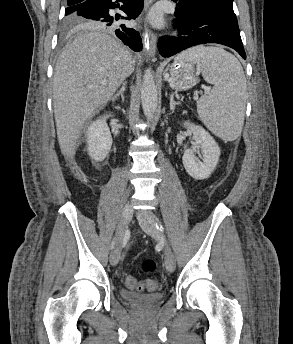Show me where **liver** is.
Listing matches in <instances>:
<instances>
[{
  "instance_id": "6515ba94",
  "label": "liver",
  "mask_w": 293,
  "mask_h": 344,
  "mask_svg": "<svg viewBox=\"0 0 293 344\" xmlns=\"http://www.w3.org/2000/svg\"><path fill=\"white\" fill-rule=\"evenodd\" d=\"M134 68L131 53L100 31L79 35L60 54L53 78V105L65 158L74 157L86 121L107 104Z\"/></svg>"
}]
</instances>
